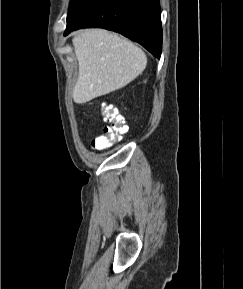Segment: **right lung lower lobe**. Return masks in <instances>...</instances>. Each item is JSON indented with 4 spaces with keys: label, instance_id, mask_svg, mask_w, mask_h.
I'll use <instances>...</instances> for the list:
<instances>
[{
    "label": "right lung lower lobe",
    "instance_id": "obj_1",
    "mask_svg": "<svg viewBox=\"0 0 243 289\" xmlns=\"http://www.w3.org/2000/svg\"><path fill=\"white\" fill-rule=\"evenodd\" d=\"M89 27L118 32L160 58L162 28L159 0H81L76 10L67 17L64 35Z\"/></svg>",
    "mask_w": 243,
    "mask_h": 289
}]
</instances>
